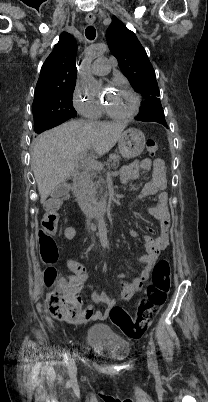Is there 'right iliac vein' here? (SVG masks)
<instances>
[{"label": "right iliac vein", "instance_id": "63e3f726", "mask_svg": "<svg viewBox=\"0 0 208 402\" xmlns=\"http://www.w3.org/2000/svg\"><path fill=\"white\" fill-rule=\"evenodd\" d=\"M69 368H70V370H71L72 372H75L76 366H75L74 361H70Z\"/></svg>", "mask_w": 208, "mask_h": 402}]
</instances>
